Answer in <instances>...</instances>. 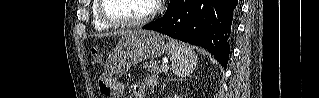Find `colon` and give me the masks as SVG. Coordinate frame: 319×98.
<instances>
[{
  "instance_id": "colon-1",
  "label": "colon",
  "mask_w": 319,
  "mask_h": 98,
  "mask_svg": "<svg viewBox=\"0 0 319 98\" xmlns=\"http://www.w3.org/2000/svg\"><path fill=\"white\" fill-rule=\"evenodd\" d=\"M90 56L97 63H100L102 61L101 52L95 47L90 49Z\"/></svg>"
}]
</instances>
